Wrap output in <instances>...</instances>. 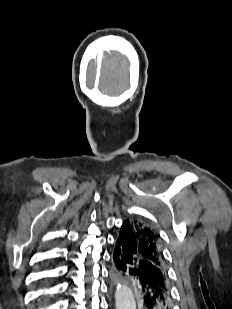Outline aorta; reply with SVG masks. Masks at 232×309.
Listing matches in <instances>:
<instances>
[{
  "instance_id": "obj_1",
  "label": "aorta",
  "mask_w": 232,
  "mask_h": 309,
  "mask_svg": "<svg viewBox=\"0 0 232 309\" xmlns=\"http://www.w3.org/2000/svg\"><path fill=\"white\" fill-rule=\"evenodd\" d=\"M116 309H136V301L129 287L120 285L115 292Z\"/></svg>"
}]
</instances>
